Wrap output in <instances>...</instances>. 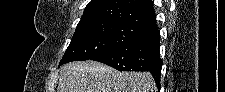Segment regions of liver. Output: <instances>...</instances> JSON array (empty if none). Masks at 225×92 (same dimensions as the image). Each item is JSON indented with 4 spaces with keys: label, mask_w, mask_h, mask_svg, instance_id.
Listing matches in <instances>:
<instances>
[{
    "label": "liver",
    "mask_w": 225,
    "mask_h": 92,
    "mask_svg": "<svg viewBox=\"0 0 225 92\" xmlns=\"http://www.w3.org/2000/svg\"><path fill=\"white\" fill-rule=\"evenodd\" d=\"M149 72H119L96 61L61 67L57 92H156Z\"/></svg>",
    "instance_id": "liver-1"
}]
</instances>
